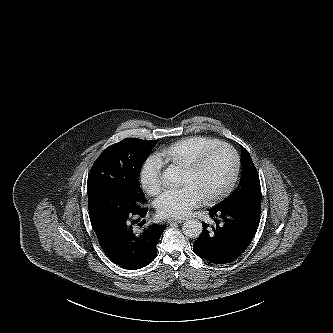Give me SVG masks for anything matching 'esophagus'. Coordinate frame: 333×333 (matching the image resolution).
Wrapping results in <instances>:
<instances>
[{
  "instance_id": "esophagus-1",
  "label": "esophagus",
  "mask_w": 333,
  "mask_h": 333,
  "mask_svg": "<svg viewBox=\"0 0 333 333\" xmlns=\"http://www.w3.org/2000/svg\"><path fill=\"white\" fill-rule=\"evenodd\" d=\"M183 222V219H169L168 223L172 224V223H181Z\"/></svg>"
}]
</instances>
